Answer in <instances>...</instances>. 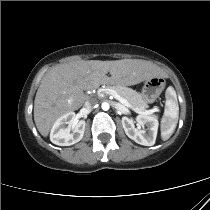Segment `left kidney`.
<instances>
[{"instance_id":"left-kidney-1","label":"left kidney","mask_w":210,"mask_h":210,"mask_svg":"<svg viewBox=\"0 0 210 210\" xmlns=\"http://www.w3.org/2000/svg\"><path fill=\"white\" fill-rule=\"evenodd\" d=\"M136 123L138 126L137 128H135L132 118H122V126L126 135L138 144L144 146L154 145L159 125L157 118L146 114H141L136 117ZM144 126L147 127L146 130L141 129Z\"/></svg>"}]
</instances>
